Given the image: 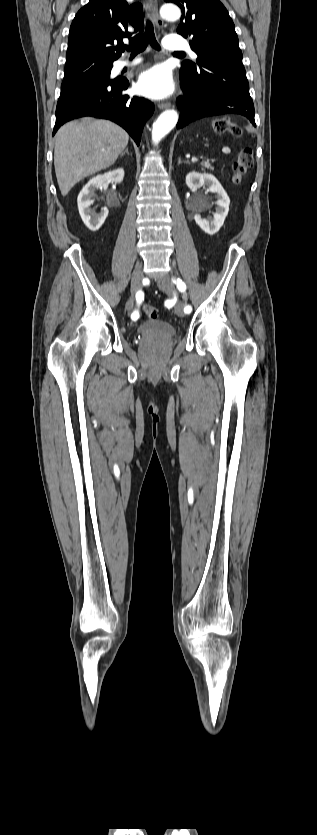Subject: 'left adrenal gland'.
Returning <instances> with one entry per match:
<instances>
[{"label":"left adrenal gland","mask_w":317,"mask_h":835,"mask_svg":"<svg viewBox=\"0 0 317 835\" xmlns=\"http://www.w3.org/2000/svg\"><path fill=\"white\" fill-rule=\"evenodd\" d=\"M181 163H182V161H181V159L179 158V159H178V165H180ZM183 163L190 164V162H189L188 160L183 161Z\"/></svg>","instance_id":"a2214340"}]
</instances>
